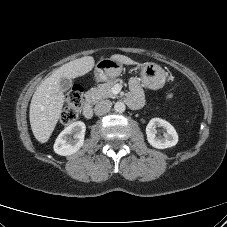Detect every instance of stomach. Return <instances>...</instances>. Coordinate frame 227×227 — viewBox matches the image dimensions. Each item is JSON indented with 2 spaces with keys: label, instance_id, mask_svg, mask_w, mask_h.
<instances>
[{
  "label": "stomach",
  "instance_id": "stomach-1",
  "mask_svg": "<svg viewBox=\"0 0 227 227\" xmlns=\"http://www.w3.org/2000/svg\"><path fill=\"white\" fill-rule=\"evenodd\" d=\"M143 84L149 89L157 90L165 84V74L160 66L154 63L139 65ZM123 70L122 64L111 58L101 59L95 67L98 81H106L118 77Z\"/></svg>",
  "mask_w": 227,
  "mask_h": 227
}]
</instances>
